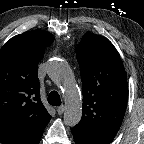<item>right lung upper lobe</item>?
Returning <instances> with one entry per match:
<instances>
[{"label":"right lung upper lobe","mask_w":144,"mask_h":144,"mask_svg":"<svg viewBox=\"0 0 144 144\" xmlns=\"http://www.w3.org/2000/svg\"><path fill=\"white\" fill-rule=\"evenodd\" d=\"M54 41L44 30L19 34L0 50V141L39 144L51 119L40 99L37 66Z\"/></svg>","instance_id":"obj_1"}]
</instances>
